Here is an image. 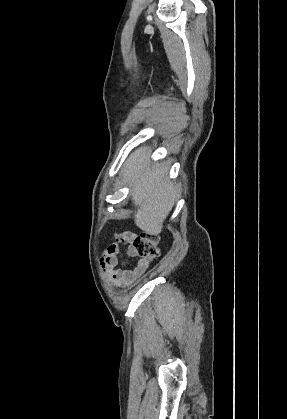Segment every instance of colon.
Segmentation results:
<instances>
[{"mask_svg":"<svg viewBox=\"0 0 287 419\" xmlns=\"http://www.w3.org/2000/svg\"><path fill=\"white\" fill-rule=\"evenodd\" d=\"M130 247L135 256L140 258L145 265L159 255L158 237L152 234L135 235L130 242Z\"/></svg>","mask_w":287,"mask_h":419,"instance_id":"obj_1","label":"colon"}]
</instances>
